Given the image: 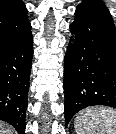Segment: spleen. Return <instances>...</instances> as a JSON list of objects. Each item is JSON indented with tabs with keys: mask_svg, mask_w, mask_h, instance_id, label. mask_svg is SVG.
I'll return each instance as SVG.
<instances>
[{
	"mask_svg": "<svg viewBox=\"0 0 116 134\" xmlns=\"http://www.w3.org/2000/svg\"><path fill=\"white\" fill-rule=\"evenodd\" d=\"M76 134H116V111L106 107H90L75 119Z\"/></svg>",
	"mask_w": 116,
	"mask_h": 134,
	"instance_id": "obj_1",
	"label": "spleen"
}]
</instances>
